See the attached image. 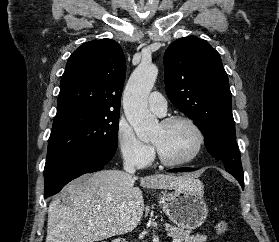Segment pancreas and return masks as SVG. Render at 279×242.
<instances>
[{
	"label": "pancreas",
	"mask_w": 279,
	"mask_h": 242,
	"mask_svg": "<svg viewBox=\"0 0 279 242\" xmlns=\"http://www.w3.org/2000/svg\"><path fill=\"white\" fill-rule=\"evenodd\" d=\"M165 227L169 236L180 239L181 242H206L207 240L206 235H190V231L169 224H165Z\"/></svg>",
	"instance_id": "cf45deb5"
}]
</instances>
